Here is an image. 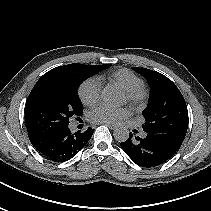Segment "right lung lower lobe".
<instances>
[{"instance_id": "1", "label": "right lung lower lobe", "mask_w": 211, "mask_h": 211, "mask_svg": "<svg viewBox=\"0 0 211 211\" xmlns=\"http://www.w3.org/2000/svg\"><path fill=\"white\" fill-rule=\"evenodd\" d=\"M93 129L71 133L67 125L29 132L31 144L46 159L53 162H65L74 157L90 140Z\"/></svg>"}]
</instances>
